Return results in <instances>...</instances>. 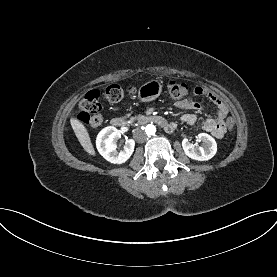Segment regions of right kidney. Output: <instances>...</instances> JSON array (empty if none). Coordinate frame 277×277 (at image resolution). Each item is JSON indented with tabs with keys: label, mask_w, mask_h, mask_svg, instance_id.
Returning <instances> with one entry per match:
<instances>
[{
	"label": "right kidney",
	"mask_w": 277,
	"mask_h": 277,
	"mask_svg": "<svg viewBox=\"0 0 277 277\" xmlns=\"http://www.w3.org/2000/svg\"><path fill=\"white\" fill-rule=\"evenodd\" d=\"M121 132L113 126H108L97 135L96 146L99 153L109 162L114 164L125 163L134 151L135 141L129 139L125 142L124 148L117 151V141Z\"/></svg>",
	"instance_id": "ca27d5eb"
}]
</instances>
